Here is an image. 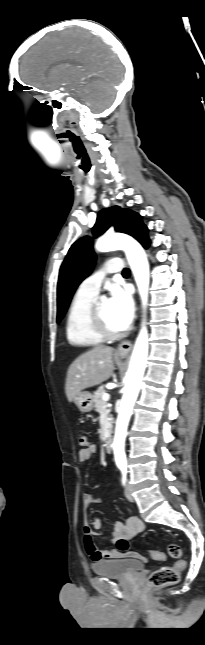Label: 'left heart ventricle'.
<instances>
[{"mask_svg":"<svg viewBox=\"0 0 205 645\" xmlns=\"http://www.w3.org/2000/svg\"><path fill=\"white\" fill-rule=\"evenodd\" d=\"M99 306L102 316L108 327L114 331H120L121 329L115 321L109 302L101 301Z\"/></svg>","mask_w":205,"mask_h":645,"instance_id":"b2bd125f","label":"left heart ventricle"}]
</instances>
